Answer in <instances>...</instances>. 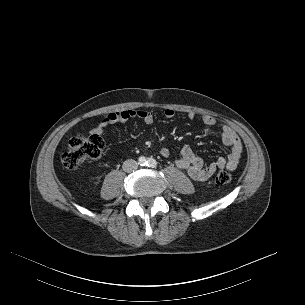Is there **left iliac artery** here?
<instances>
[{
  "label": "left iliac artery",
  "mask_w": 305,
  "mask_h": 305,
  "mask_svg": "<svg viewBox=\"0 0 305 305\" xmlns=\"http://www.w3.org/2000/svg\"><path fill=\"white\" fill-rule=\"evenodd\" d=\"M157 164H158V163H157V161H156L155 159L149 158V159L147 160L146 166L155 168V167L157 166Z\"/></svg>",
  "instance_id": "1"
}]
</instances>
